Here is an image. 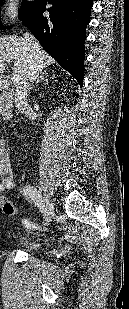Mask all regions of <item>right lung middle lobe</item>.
I'll return each instance as SVG.
<instances>
[{
    "label": "right lung middle lobe",
    "mask_w": 129,
    "mask_h": 309,
    "mask_svg": "<svg viewBox=\"0 0 129 309\" xmlns=\"http://www.w3.org/2000/svg\"><path fill=\"white\" fill-rule=\"evenodd\" d=\"M2 4V0H0V5ZM35 2H27L24 1L23 5L21 7V12H20V20H23L28 12L34 7ZM1 29H3V26H0Z\"/></svg>",
    "instance_id": "right-lung-middle-lobe-1"
}]
</instances>
